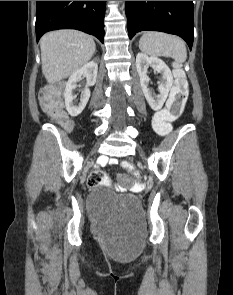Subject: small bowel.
<instances>
[{"instance_id": "1", "label": "small bowel", "mask_w": 233, "mask_h": 295, "mask_svg": "<svg viewBox=\"0 0 233 295\" xmlns=\"http://www.w3.org/2000/svg\"><path fill=\"white\" fill-rule=\"evenodd\" d=\"M109 163H110V164H116V163H117V160L114 159V158H112V159L109 160ZM117 191H119V192H123V191H125V189H124V187H122V186H118V187H117Z\"/></svg>"}]
</instances>
